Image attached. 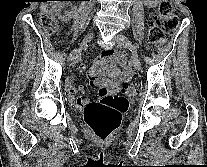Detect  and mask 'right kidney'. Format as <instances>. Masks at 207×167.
I'll return each instance as SVG.
<instances>
[{"label": "right kidney", "instance_id": "1", "mask_svg": "<svg viewBox=\"0 0 207 167\" xmlns=\"http://www.w3.org/2000/svg\"><path fill=\"white\" fill-rule=\"evenodd\" d=\"M55 12L56 15L64 22L70 21L73 17V13L74 11H69L66 12L64 15H61V11L62 9L65 7V5H67L69 2H65V1H55Z\"/></svg>", "mask_w": 207, "mask_h": 167}]
</instances>
